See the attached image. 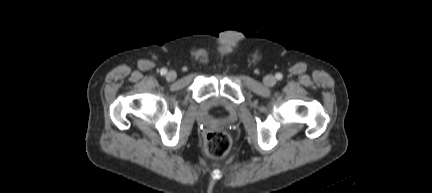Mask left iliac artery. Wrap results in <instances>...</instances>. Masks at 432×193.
Returning a JSON list of instances; mask_svg holds the SVG:
<instances>
[{
    "instance_id": "1",
    "label": "left iliac artery",
    "mask_w": 432,
    "mask_h": 193,
    "mask_svg": "<svg viewBox=\"0 0 432 193\" xmlns=\"http://www.w3.org/2000/svg\"><path fill=\"white\" fill-rule=\"evenodd\" d=\"M276 78H277L278 80H281V79H282V74H281V73H277V74H276Z\"/></svg>"
}]
</instances>
